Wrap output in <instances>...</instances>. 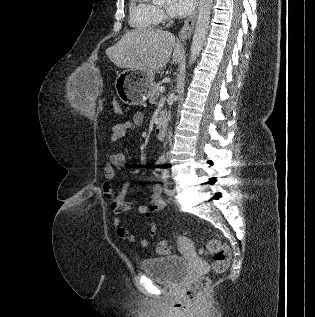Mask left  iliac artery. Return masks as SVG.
Returning <instances> with one entry per match:
<instances>
[{
	"label": "left iliac artery",
	"instance_id": "44dca946",
	"mask_svg": "<svg viewBox=\"0 0 315 317\" xmlns=\"http://www.w3.org/2000/svg\"><path fill=\"white\" fill-rule=\"evenodd\" d=\"M165 178H166V177L163 175V176H162V179H164V180H165ZM165 191L167 192V191H168V189H167V188H165Z\"/></svg>",
	"mask_w": 315,
	"mask_h": 317
}]
</instances>
